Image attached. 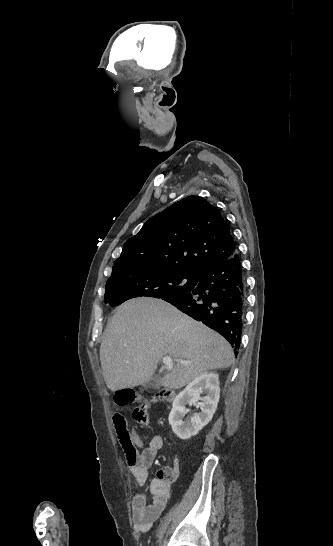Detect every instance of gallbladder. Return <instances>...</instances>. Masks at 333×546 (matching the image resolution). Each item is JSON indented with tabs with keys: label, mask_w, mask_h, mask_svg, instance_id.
<instances>
[{
	"label": "gallbladder",
	"mask_w": 333,
	"mask_h": 546,
	"mask_svg": "<svg viewBox=\"0 0 333 546\" xmlns=\"http://www.w3.org/2000/svg\"><path fill=\"white\" fill-rule=\"evenodd\" d=\"M160 388V380L158 377L151 378L146 384L145 389L155 391Z\"/></svg>",
	"instance_id": "gallbladder-1"
}]
</instances>
